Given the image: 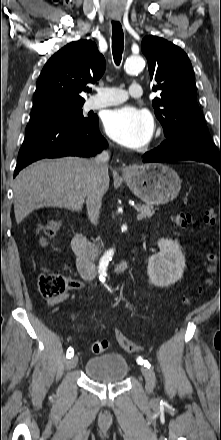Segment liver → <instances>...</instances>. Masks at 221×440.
Instances as JSON below:
<instances>
[{
  "instance_id": "obj_1",
  "label": "liver",
  "mask_w": 221,
  "mask_h": 440,
  "mask_svg": "<svg viewBox=\"0 0 221 440\" xmlns=\"http://www.w3.org/2000/svg\"><path fill=\"white\" fill-rule=\"evenodd\" d=\"M91 179L90 160L65 157L37 161L17 175L14 191V212L17 223L32 211L43 207L80 211ZM109 179L105 183V191ZM104 191V192H105Z\"/></svg>"
}]
</instances>
